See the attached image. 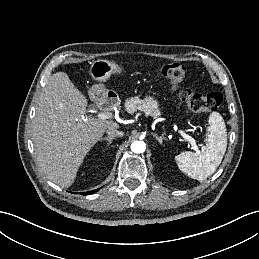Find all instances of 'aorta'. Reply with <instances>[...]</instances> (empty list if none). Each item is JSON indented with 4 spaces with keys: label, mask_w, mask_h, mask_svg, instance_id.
I'll return each instance as SVG.
<instances>
[{
    "label": "aorta",
    "mask_w": 259,
    "mask_h": 259,
    "mask_svg": "<svg viewBox=\"0 0 259 259\" xmlns=\"http://www.w3.org/2000/svg\"><path fill=\"white\" fill-rule=\"evenodd\" d=\"M146 149V145L143 141H134L131 144V151L134 153H143Z\"/></svg>",
    "instance_id": "762f6f07"
}]
</instances>
